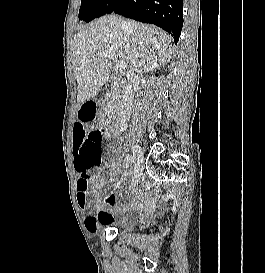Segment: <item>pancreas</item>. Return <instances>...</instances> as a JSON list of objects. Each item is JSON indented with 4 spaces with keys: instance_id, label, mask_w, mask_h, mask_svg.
<instances>
[{
    "instance_id": "1",
    "label": "pancreas",
    "mask_w": 265,
    "mask_h": 273,
    "mask_svg": "<svg viewBox=\"0 0 265 273\" xmlns=\"http://www.w3.org/2000/svg\"><path fill=\"white\" fill-rule=\"evenodd\" d=\"M109 95H112V97L107 101V109L113 110L116 107V102L114 97L115 94L111 92Z\"/></svg>"
}]
</instances>
